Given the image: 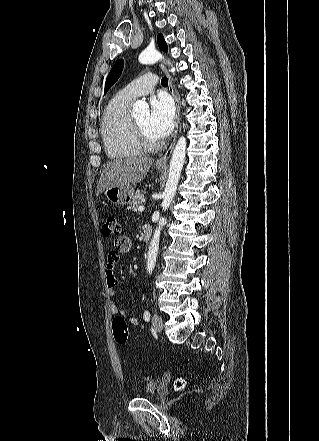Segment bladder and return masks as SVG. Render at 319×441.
I'll use <instances>...</instances> for the list:
<instances>
[{"label": "bladder", "mask_w": 319, "mask_h": 441, "mask_svg": "<svg viewBox=\"0 0 319 441\" xmlns=\"http://www.w3.org/2000/svg\"><path fill=\"white\" fill-rule=\"evenodd\" d=\"M158 393V384L155 380L145 382L141 389L140 394L144 396H154Z\"/></svg>", "instance_id": "31cf9c89"}]
</instances>
